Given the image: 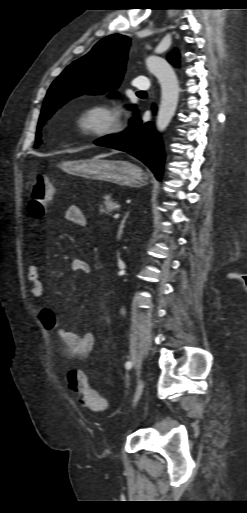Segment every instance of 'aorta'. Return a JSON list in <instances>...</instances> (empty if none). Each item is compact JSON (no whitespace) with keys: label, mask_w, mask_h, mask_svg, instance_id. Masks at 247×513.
Listing matches in <instances>:
<instances>
[{"label":"aorta","mask_w":247,"mask_h":513,"mask_svg":"<svg viewBox=\"0 0 247 513\" xmlns=\"http://www.w3.org/2000/svg\"><path fill=\"white\" fill-rule=\"evenodd\" d=\"M148 70L158 79L161 86V101L156 119V129L163 132L175 114L179 99V82L173 68L167 61L150 55L146 59Z\"/></svg>","instance_id":"obj_1"}]
</instances>
